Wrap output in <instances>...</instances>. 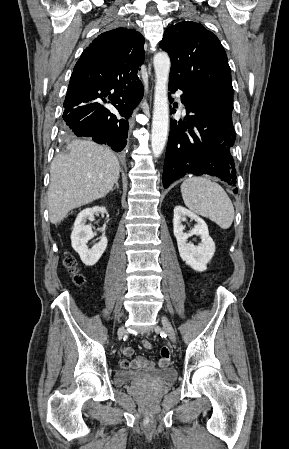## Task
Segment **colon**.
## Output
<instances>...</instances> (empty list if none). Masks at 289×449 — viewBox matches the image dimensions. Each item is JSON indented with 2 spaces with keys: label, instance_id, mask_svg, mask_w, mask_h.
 I'll return each instance as SVG.
<instances>
[{
  "label": "colon",
  "instance_id": "obj_1",
  "mask_svg": "<svg viewBox=\"0 0 289 449\" xmlns=\"http://www.w3.org/2000/svg\"><path fill=\"white\" fill-rule=\"evenodd\" d=\"M64 265L67 268V270L72 274L74 282L77 285H82L84 283V277L78 271L77 262L75 258L72 255H66L64 258ZM142 345L145 349H150L152 347L151 342L149 340H143Z\"/></svg>",
  "mask_w": 289,
  "mask_h": 449
}]
</instances>
